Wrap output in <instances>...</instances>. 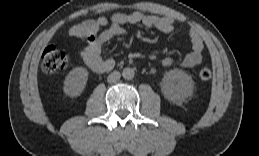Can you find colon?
I'll return each instance as SVG.
<instances>
[{
  "label": "colon",
  "instance_id": "1",
  "mask_svg": "<svg viewBox=\"0 0 259 156\" xmlns=\"http://www.w3.org/2000/svg\"><path fill=\"white\" fill-rule=\"evenodd\" d=\"M68 66V57L66 53L56 47L49 45L45 48L42 54L41 68L47 75H56ZM212 72L209 68H203L199 72V78L202 81H207L211 78Z\"/></svg>",
  "mask_w": 259,
  "mask_h": 156
}]
</instances>
